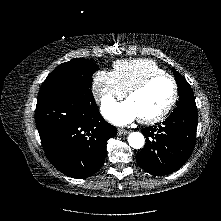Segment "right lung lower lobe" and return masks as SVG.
Listing matches in <instances>:
<instances>
[{
  "label": "right lung lower lobe",
  "instance_id": "right-lung-lower-lobe-1",
  "mask_svg": "<svg viewBox=\"0 0 221 221\" xmlns=\"http://www.w3.org/2000/svg\"><path fill=\"white\" fill-rule=\"evenodd\" d=\"M35 118L47 158L72 178L93 175L106 157L107 140L117 133L89 88L38 98Z\"/></svg>",
  "mask_w": 221,
  "mask_h": 221
}]
</instances>
